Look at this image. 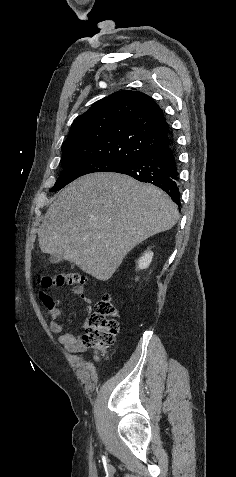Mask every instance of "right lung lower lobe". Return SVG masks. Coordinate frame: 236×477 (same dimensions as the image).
<instances>
[{"label": "right lung lower lobe", "mask_w": 236, "mask_h": 477, "mask_svg": "<svg viewBox=\"0 0 236 477\" xmlns=\"http://www.w3.org/2000/svg\"><path fill=\"white\" fill-rule=\"evenodd\" d=\"M114 172L129 175L141 182L154 184L164 190L180 206L177 163L170 141Z\"/></svg>", "instance_id": "right-lung-lower-lobe-1"}]
</instances>
